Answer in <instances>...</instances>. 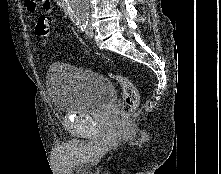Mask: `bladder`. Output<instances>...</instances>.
<instances>
[{
    "mask_svg": "<svg viewBox=\"0 0 221 174\" xmlns=\"http://www.w3.org/2000/svg\"><path fill=\"white\" fill-rule=\"evenodd\" d=\"M48 96L62 113L91 115L106 110L115 100L111 81L91 69L55 63L45 76Z\"/></svg>",
    "mask_w": 221,
    "mask_h": 174,
    "instance_id": "obj_1",
    "label": "bladder"
}]
</instances>
